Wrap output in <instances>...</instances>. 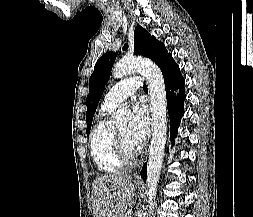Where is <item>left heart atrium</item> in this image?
Segmentation results:
<instances>
[{"label":"left heart atrium","instance_id":"left-heart-atrium-1","mask_svg":"<svg viewBox=\"0 0 253 217\" xmlns=\"http://www.w3.org/2000/svg\"><path fill=\"white\" fill-rule=\"evenodd\" d=\"M149 125L146 109L140 104L133 105L131 120L128 126V135L137 147L147 137Z\"/></svg>","mask_w":253,"mask_h":217}]
</instances>
